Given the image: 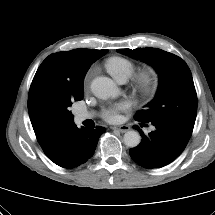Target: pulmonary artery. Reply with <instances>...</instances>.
<instances>
[{
  "label": "pulmonary artery",
  "mask_w": 215,
  "mask_h": 215,
  "mask_svg": "<svg viewBox=\"0 0 215 215\" xmlns=\"http://www.w3.org/2000/svg\"><path fill=\"white\" fill-rule=\"evenodd\" d=\"M120 83H124V81L120 82ZM92 117V114L91 113H87V112H81V113H78L75 117V121L77 123H81L87 119H90Z\"/></svg>",
  "instance_id": "1"
}]
</instances>
